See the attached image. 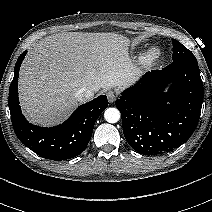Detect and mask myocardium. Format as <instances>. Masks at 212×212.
Instances as JSON below:
<instances>
[{"instance_id":"obj_1","label":"myocardium","mask_w":212,"mask_h":212,"mask_svg":"<svg viewBox=\"0 0 212 212\" xmlns=\"http://www.w3.org/2000/svg\"><path fill=\"white\" fill-rule=\"evenodd\" d=\"M158 54H159V51L157 49H155V48L150 49L144 56L143 60H144V62L149 63V62L153 61L155 58H157Z\"/></svg>"}]
</instances>
